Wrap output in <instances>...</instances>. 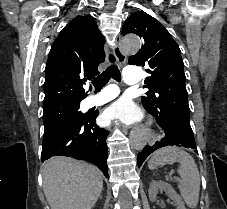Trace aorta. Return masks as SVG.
I'll return each instance as SVG.
<instances>
[{"mask_svg":"<svg viewBox=\"0 0 227 209\" xmlns=\"http://www.w3.org/2000/svg\"><path fill=\"white\" fill-rule=\"evenodd\" d=\"M141 45L140 39L135 35H129L122 39L121 48L123 52L131 54L136 53ZM147 140V133L144 130L136 131L131 138V146L136 150H141Z\"/></svg>","mask_w":227,"mask_h":209,"instance_id":"obj_1","label":"aorta"}]
</instances>
